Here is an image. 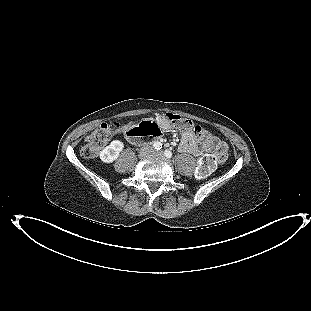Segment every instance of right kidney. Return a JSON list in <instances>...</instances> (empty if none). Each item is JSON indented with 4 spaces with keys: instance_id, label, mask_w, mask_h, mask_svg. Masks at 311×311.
I'll use <instances>...</instances> for the list:
<instances>
[{
    "instance_id": "obj_1",
    "label": "right kidney",
    "mask_w": 311,
    "mask_h": 311,
    "mask_svg": "<svg viewBox=\"0 0 311 311\" xmlns=\"http://www.w3.org/2000/svg\"><path fill=\"white\" fill-rule=\"evenodd\" d=\"M124 144L120 140H113L110 145L100 151L99 157L104 163H112L119 157L123 150Z\"/></svg>"
}]
</instances>
